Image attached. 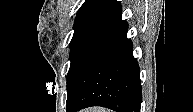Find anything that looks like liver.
Masks as SVG:
<instances>
[{
  "label": "liver",
  "instance_id": "liver-1",
  "mask_svg": "<svg viewBox=\"0 0 193 112\" xmlns=\"http://www.w3.org/2000/svg\"><path fill=\"white\" fill-rule=\"evenodd\" d=\"M82 112H110V110L104 109L101 107H91V108L82 110Z\"/></svg>",
  "mask_w": 193,
  "mask_h": 112
}]
</instances>
